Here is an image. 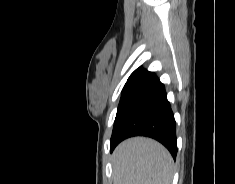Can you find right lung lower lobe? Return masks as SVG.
I'll return each instance as SVG.
<instances>
[{
  "instance_id": "1",
  "label": "right lung lower lobe",
  "mask_w": 235,
  "mask_h": 184,
  "mask_svg": "<svg viewBox=\"0 0 235 184\" xmlns=\"http://www.w3.org/2000/svg\"><path fill=\"white\" fill-rule=\"evenodd\" d=\"M147 136L177 154L176 122L164 85L153 72L123 92L114 122L110 150L124 139Z\"/></svg>"
}]
</instances>
